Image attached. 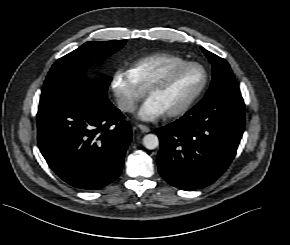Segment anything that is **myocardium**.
I'll list each match as a JSON object with an SVG mask.
<instances>
[{"label": "myocardium", "mask_w": 290, "mask_h": 245, "mask_svg": "<svg viewBox=\"0 0 290 245\" xmlns=\"http://www.w3.org/2000/svg\"><path fill=\"white\" fill-rule=\"evenodd\" d=\"M189 67H197V68H200L202 70V72H203V82H202L201 86L195 91V93L184 104H182L181 106H179L178 108H176L174 110L166 112V115L168 117H176V116L184 114L201 97V95L204 93V91L206 90V88L208 86V83H209V74H208L207 69L202 64L197 63V62H189V61H187V62H184V63L176 64V65H173V66L167 68L166 70H164L163 72H161L160 74L155 76L151 80V82L147 85V87L145 88V93L148 95L149 92L153 88L162 85L163 82L168 79L170 74L176 73V72H178V71H180L182 69L189 68Z\"/></svg>", "instance_id": "1"}]
</instances>
